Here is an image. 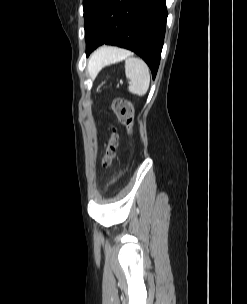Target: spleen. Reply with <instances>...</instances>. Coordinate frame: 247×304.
Segmentation results:
<instances>
[{
	"instance_id": "spleen-1",
	"label": "spleen",
	"mask_w": 247,
	"mask_h": 304,
	"mask_svg": "<svg viewBox=\"0 0 247 304\" xmlns=\"http://www.w3.org/2000/svg\"><path fill=\"white\" fill-rule=\"evenodd\" d=\"M124 59L125 75L130 80L129 91L138 96H143L149 88L150 73L147 64L142 59L131 57L127 52H119L108 57L104 65L116 63Z\"/></svg>"
}]
</instances>
